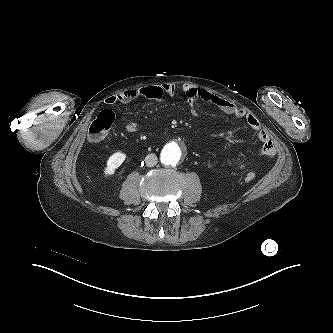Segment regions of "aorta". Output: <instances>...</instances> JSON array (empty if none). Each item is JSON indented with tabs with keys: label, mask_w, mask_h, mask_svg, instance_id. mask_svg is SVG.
<instances>
[{
	"label": "aorta",
	"mask_w": 333,
	"mask_h": 333,
	"mask_svg": "<svg viewBox=\"0 0 333 333\" xmlns=\"http://www.w3.org/2000/svg\"><path fill=\"white\" fill-rule=\"evenodd\" d=\"M184 152V147L180 144L165 146L161 152V162L166 166H176Z\"/></svg>",
	"instance_id": "762f6f07"
}]
</instances>
